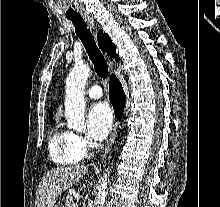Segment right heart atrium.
Here are the masks:
<instances>
[{
    "label": "right heart atrium",
    "instance_id": "1",
    "mask_svg": "<svg viewBox=\"0 0 220 207\" xmlns=\"http://www.w3.org/2000/svg\"><path fill=\"white\" fill-rule=\"evenodd\" d=\"M75 137H76V141H77L78 145L82 149L86 150L87 148L90 147L91 143H90V141L87 138H85L82 135H77V134H75Z\"/></svg>",
    "mask_w": 220,
    "mask_h": 207
}]
</instances>
